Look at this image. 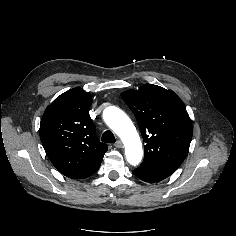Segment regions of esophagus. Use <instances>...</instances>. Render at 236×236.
I'll use <instances>...</instances> for the list:
<instances>
[{
  "label": "esophagus",
  "mask_w": 236,
  "mask_h": 236,
  "mask_svg": "<svg viewBox=\"0 0 236 236\" xmlns=\"http://www.w3.org/2000/svg\"><path fill=\"white\" fill-rule=\"evenodd\" d=\"M114 146H115L116 148H122V147H123V143H122L120 140H118V141H116V143L114 144Z\"/></svg>",
  "instance_id": "obj_1"
}]
</instances>
